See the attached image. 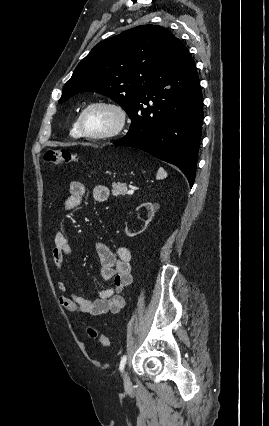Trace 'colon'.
I'll return each mask as SVG.
<instances>
[{"label": "colon", "instance_id": "5ec220e1", "mask_svg": "<svg viewBox=\"0 0 269 426\" xmlns=\"http://www.w3.org/2000/svg\"><path fill=\"white\" fill-rule=\"evenodd\" d=\"M44 162L51 165H70L79 163L77 155L67 149H48L44 154ZM87 333L103 347H110L111 340L96 327L89 326Z\"/></svg>", "mask_w": 269, "mask_h": 426}]
</instances>
